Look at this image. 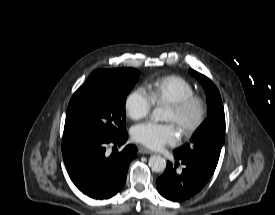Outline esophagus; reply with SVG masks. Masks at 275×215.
I'll return each instance as SVG.
<instances>
[{"label":"esophagus","instance_id":"esophagus-1","mask_svg":"<svg viewBox=\"0 0 275 215\" xmlns=\"http://www.w3.org/2000/svg\"><path fill=\"white\" fill-rule=\"evenodd\" d=\"M138 151L141 154H151L152 153V151H150L149 149H147V148H145L143 146H139L138 147Z\"/></svg>","mask_w":275,"mask_h":215}]
</instances>
